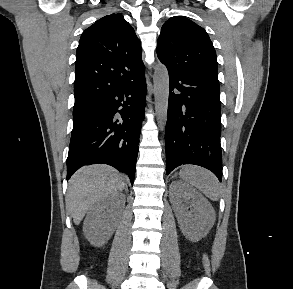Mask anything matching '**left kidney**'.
<instances>
[{
  "instance_id": "left-kidney-1",
  "label": "left kidney",
  "mask_w": 293,
  "mask_h": 289,
  "mask_svg": "<svg viewBox=\"0 0 293 289\" xmlns=\"http://www.w3.org/2000/svg\"><path fill=\"white\" fill-rule=\"evenodd\" d=\"M171 203L182 233L192 241L202 238L211 228L215 211L210 202L189 185L174 181L170 185ZM191 200L194 214L187 212L183 204Z\"/></svg>"
}]
</instances>
